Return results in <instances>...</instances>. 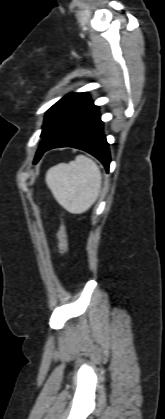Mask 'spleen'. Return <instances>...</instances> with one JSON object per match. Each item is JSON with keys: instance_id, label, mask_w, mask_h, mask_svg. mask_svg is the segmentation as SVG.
<instances>
[{"instance_id": "spleen-1", "label": "spleen", "mask_w": 165, "mask_h": 419, "mask_svg": "<svg viewBox=\"0 0 165 419\" xmlns=\"http://www.w3.org/2000/svg\"><path fill=\"white\" fill-rule=\"evenodd\" d=\"M46 183L57 202L68 212H86L97 200L102 175L97 164L84 155L60 163L46 173Z\"/></svg>"}]
</instances>
